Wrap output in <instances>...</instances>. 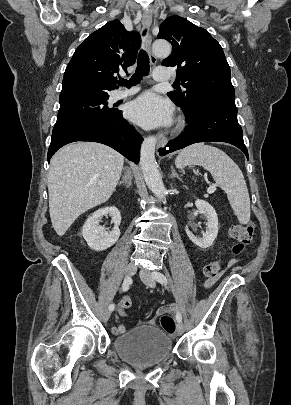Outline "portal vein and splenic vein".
Here are the masks:
<instances>
[{"instance_id": "1", "label": "portal vein and splenic vein", "mask_w": 291, "mask_h": 405, "mask_svg": "<svg viewBox=\"0 0 291 405\" xmlns=\"http://www.w3.org/2000/svg\"><path fill=\"white\" fill-rule=\"evenodd\" d=\"M215 190H216V187H215V186H210V187L207 189V192H208L209 194H212Z\"/></svg>"}]
</instances>
